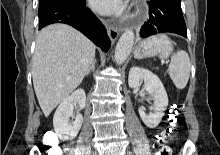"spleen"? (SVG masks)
<instances>
[{
    "mask_svg": "<svg viewBox=\"0 0 220 155\" xmlns=\"http://www.w3.org/2000/svg\"><path fill=\"white\" fill-rule=\"evenodd\" d=\"M191 63L187 52L178 50L171 57L168 72L175 87L182 90L186 87L190 76Z\"/></svg>",
    "mask_w": 220,
    "mask_h": 155,
    "instance_id": "spleen-1",
    "label": "spleen"
}]
</instances>
